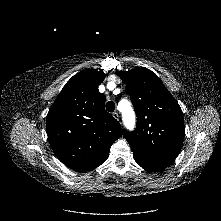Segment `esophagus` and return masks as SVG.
Returning a JSON list of instances; mask_svg holds the SVG:
<instances>
[{"label": "esophagus", "instance_id": "obj_1", "mask_svg": "<svg viewBox=\"0 0 221 221\" xmlns=\"http://www.w3.org/2000/svg\"><path fill=\"white\" fill-rule=\"evenodd\" d=\"M112 115L115 119L119 120V115L117 112H113Z\"/></svg>", "mask_w": 221, "mask_h": 221}]
</instances>
